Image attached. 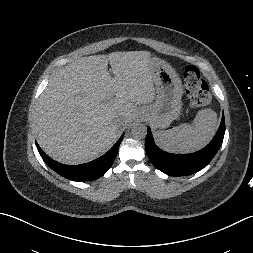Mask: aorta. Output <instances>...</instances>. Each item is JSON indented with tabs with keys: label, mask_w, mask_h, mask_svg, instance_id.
<instances>
[{
	"label": "aorta",
	"mask_w": 253,
	"mask_h": 253,
	"mask_svg": "<svg viewBox=\"0 0 253 253\" xmlns=\"http://www.w3.org/2000/svg\"><path fill=\"white\" fill-rule=\"evenodd\" d=\"M131 133L135 139H144L147 135V127L142 123H136L133 125Z\"/></svg>",
	"instance_id": "1"
}]
</instances>
